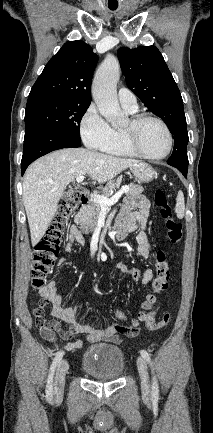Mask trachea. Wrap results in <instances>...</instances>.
<instances>
[{
	"label": "trachea",
	"mask_w": 213,
	"mask_h": 433,
	"mask_svg": "<svg viewBox=\"0 0 213 433\" xmlns=\"http://www.w3.org/2000/svg\"><path fill=\"white\" fill-rule=\"evenodd\" d=\"M111 10H115L116 8H110Z\"/></svg>",
	"instance_id": "obj_1"
}]
</instances>
